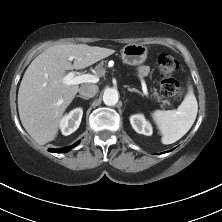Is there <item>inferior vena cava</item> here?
<instances>
[{
    "label": "inferior vena cava",
    "mask_w": 222,
    "mask_h": 222,
    "mask_svg": "<svg viewBox=\"0 0 222 222\" xmlns=\"http://www.w3.org/2000/svg\"><path fill=\"white\" fill-rule=\"evenodd\" d=\"M98 92V86L94 84H84L79 89V94L86 98L94 97Z\"/></svg>",
    "instance_id": "1"
}]
</instances>
